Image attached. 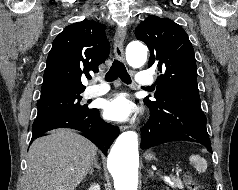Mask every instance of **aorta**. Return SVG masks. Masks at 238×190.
Segmentation results:
<instances>
[{
    "label": "aorta",
    "instance_id": "1",
    "mask_svg": "<svg viewBox=\"0 0 238 190\" xmlns=\"http://www.w3.org/2000/svg\"><path fill=\"white\" fill-rule=\"evenodd\" d=\"M126 58L132 67H141L147 60V48L139 41H132L127 46ZM138 166V135L125 131L119 135L108 156V169L116 190H137Z\"/></svg>",
    "mask_w": 238,
    "mask_h": 190
}]
</instances>
